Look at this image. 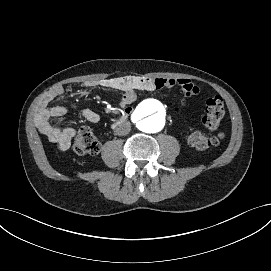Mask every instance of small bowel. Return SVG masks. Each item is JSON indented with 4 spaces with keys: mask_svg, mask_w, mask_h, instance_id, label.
<instances>
[{
    "mask_svg": "<svg viewBox=\"0 0 271 271\" xmlns=\"http://www.w3.org/2000/svg\"><path fill=\"white\" fill-rule=\"evenodd\" d=\"M83 87H105L117 90L121 93L120 106L128 108L136 99L138 91H154L161 88L179 87L183 99L182 105L186 104L189 97L198 95L200 89L189 79L183 78H145L135 76L112 77L102 80H91L83 84ZM64 94L61 86L50 88L40 99L34 114V123L37 129L50 141L56 143L62 150L69 148L72 139L76 136L77 130L71 127H62L54 122L68 113V108L64 105H54L51 103ZM83 119L97 123L100 116L93 110L84 108L79 111Z\"/></svg>",
    "mask_w": 271,
    "mask_h": 271,
    "instance_id": "c3829d8e",
    "label": "small bowel"
}]
</instances>
